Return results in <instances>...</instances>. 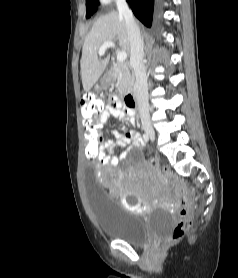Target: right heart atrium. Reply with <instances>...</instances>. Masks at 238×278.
Returning a JSON list of instances; mask_svg holds the SVG:
<instances>
[{
    "label": "right heart atrium",
    "mask_w": 238,
    "mask_h": 278,
    "mask_svg": "<svg viewBox=\"0 0 238 278\" xmlns=\"http://www.w3.org/2000/svg\"><path fill=\"white\" fill-rule=\"evenodd\" d=\"M102 3H104V4H107V3H110L111 1H113V0H100Z\"/></svg>",
    "instance_id": "obj_1"
}]
</instances>
